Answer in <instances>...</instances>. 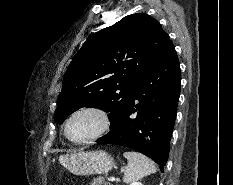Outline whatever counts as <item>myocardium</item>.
<instances>
[{
	"label": "myocardium",
	"mask_w": 233,
	"mask_h": 185,
	"mask_svg": "<svg viewBox=\"0 0 233 185\" xmlns=\"http://www.w3.org/2000/svg\"><path fill=\"white\" fill-rule=\"evenodd\" d=\"M81 113H94L98 115L101 120V125L99 129L90 137L83 139V140H75L71 138L69 134V125H70L71 120L76 115L81 114ZM110 127H111V117H110L109 112L100 106L92 105V106H85V107L75 110L66 120L64 132L68 140H70L74 144L81 145V144H88L95 140H98L110 130Z\"/></svg>",
	"instance_id": "obj_1"
}]
</instances>
